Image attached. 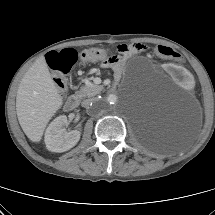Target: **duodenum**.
Listing matches in <instances>:
<instances>
[{"mask_svg": "<svg viewBox=\"0 0 215 215\" xmlns=\"http://www.w3.org/2000/svg\"><path fill=\"white\" fill-rule=\"evenodd\" d=\"M79 102H80L79 96L72 95L66 100L64 108L66 111H73L78 107Z\"/></svg>", "mask_w": 215, "mask_h": 215, "instance_id": "1", "label": "duodenum"}]
</instances>
